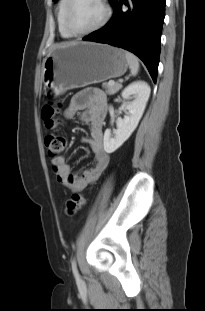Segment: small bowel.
Masks as SVG:
<instances>
[{
  "label": "small bowel",
  "instance_id": "small-bowel-1",
  "mask_svg": "<svg viewBox=\"0 0 205 311\" xmlns=\"http://www.w3.org/2000/svg\"><path fill=\"white\" fill-rule=\"evenodd\" d=\"M108 112L105 94L96 88H87L72 97L64 111L66 119L78 115L79 122L90 127V135L83 138L94 154V164L81 174L72 172L71 166L64 156L51 160L52 168L59 183L72 191H81L94 183L109 163V153L104 148L103 131Z\"/></svg>",
  "mask_w": 205,
  "mask_h": 311
}]
</instances>
